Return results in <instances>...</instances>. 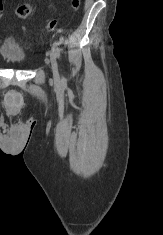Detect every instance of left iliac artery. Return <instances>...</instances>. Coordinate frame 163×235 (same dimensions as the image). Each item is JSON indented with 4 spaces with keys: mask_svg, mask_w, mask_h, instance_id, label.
Listing matches in <instances>:
<instances>
[{
    "mask_svg": "<svg viewBox=\"0 0 163 235\" xmlns=\"http://www.w3.org/2000/svg\"><path fill=\"white\" fill-rule=\"evenodd\" d=\"M52 49L55 51L56 57H60V48L58 47V44L55 42L53 43ZM63 82H65V78L62 79Z\"/></svg>",
    "mask_w": 163,
    "mask_h": 235,
    "instance_id": "obj_1",
    "label": "left iliac artery"
}]
</instances>
